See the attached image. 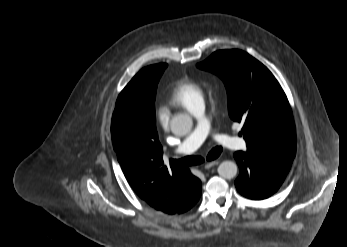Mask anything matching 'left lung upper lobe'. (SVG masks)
Masks as SVG:
<instances>
[{
  "label": "left lung upper lobe",
  "instance_id": "5c2ea615",
  "mask_svg": "<svg viewBox=\"0 0 347 247\" xmlns=\"http://www.w3.org/2000/svg\"><path fill=\"white\" fill-rule=\"evenodd\" d=\"M197 67L217 74L228 95V112L244 123L247 152L294 159L296 135L288 99L273 74L241 50L216 51Z\"/></svg>",
  "mask_w": 347,
  "mask_h": 247
}]
</instances>
